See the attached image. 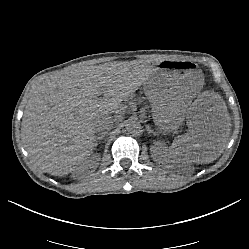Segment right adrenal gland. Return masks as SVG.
<instances>
[{
    "label": "right adrenal gland",
    "instance_id": "1",
    "mask_svg": "<svg viewBox=\"0 0 249 249\" xmlns=\"http://www.w3.org/2000/svg\"><path fill=\"white\" fill-rule=\"evenodd\" d=\"M105 133H100V135L95 136L96 142H99L100 140H102L105 137ZM97 147V144H96Z\"/></svg>",
    "mask_w": 249,
    "mask_h": 249
}]
</instances>
